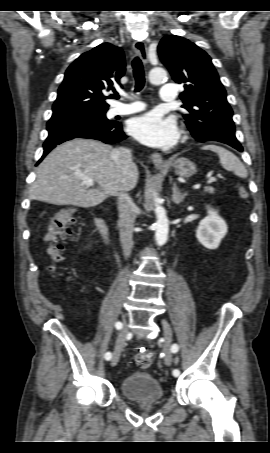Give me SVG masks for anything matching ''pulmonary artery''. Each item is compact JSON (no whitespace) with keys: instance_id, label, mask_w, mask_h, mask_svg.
Listing matches in <instances>:
<instances>
[{"instance_id":"pulmonary-artery-1","label":"pulmonary artery","mask_w":270,"mask_h":453,"mask_svg":"<svg viewBox=\"0 0 270 453\" xmlns=\"http://www.w3.org/2000/svg\"><path fill=\"white\" fill-rule=\"evenodd\" d=\"M176 86L174 84L163 85L160 88V97L165 101H174L176 99ZM144 105L140 103H133L130 105L122 106L116 109L115 113L119 115L132 114L141 111Z\"/></svg>"}]
</instances>
